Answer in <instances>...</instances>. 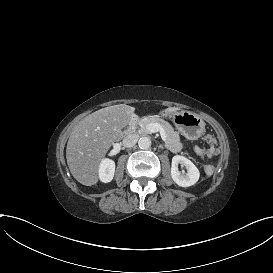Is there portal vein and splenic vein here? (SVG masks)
<instances>
[{
    "mask_svg": "<svg viewBox=\"0 0 273 273\" xmlns=\"http://www.w3.org/2000/svg\"><path fill=\"white\" fill-rule=\"evenodd\" d=\"M148 130L151 132V133H156V132H160V136L162 138L163 141L166 140V135H165V131L164 129L161 127L160 124L158 123H151L147 126Z\"/></svg>",
    "mask_w": 273,
    "mask_h": 273,
    "instance_id": "18ae733b",
    "label": "portal vein and splenic vein"
}]
</instances>
